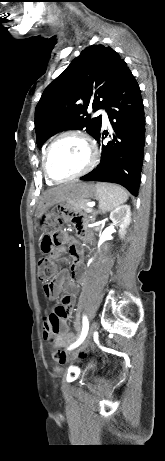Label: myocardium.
Returning <instances> with one entry per match:
<instances>
[{
	"label": "myocardium",
	"instance_id": "1",
	"mask_svg": "<svg viewBox=\"0 0 165 461\" xmlns=\"http://www.w3.org/2000/svg\"><path fill=\"white\" fill-rule=\"evenodd\" d=\"M67 137L78 138L84 143L88 151V161L86 165L80 171L76 172L75 174L70 175L68 177H64V178H54L50 174L48 167H47L48 156L52 148L54 147V145L60 140L67 138ZM97 158H98L97 149L92 139L86 133H83L81 131L69 130V131L62 132L48 144L43 154L42 167H43L44 175L49 181L54 182V183H62V182H66V181H70V180L82 177L83 175L90 172L96 165Z\"/></svg>",
	"mask_w": 165,
	"mask_h": 461
}]
</instances>
